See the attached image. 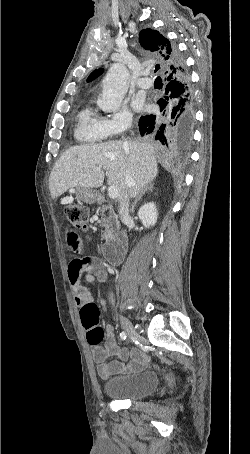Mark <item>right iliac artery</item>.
<instances>
[{
	"mask_svg": "<svg viewBox=\"0 0 250 454\" xmlns=\"http://www.w3.org/2000/svg\"><path fill=\"white\" fill-rule=\"evenodd\" d=\"M126 337H127V336H126V333H125V332H121V333H120V338H121V340H125Z\"/></svg>",
	"mask_w": 250,
	"mask_h": 454,
	"instance_id": "82829eb1",
	"label": "right iliac artery"
}]
</instances>
